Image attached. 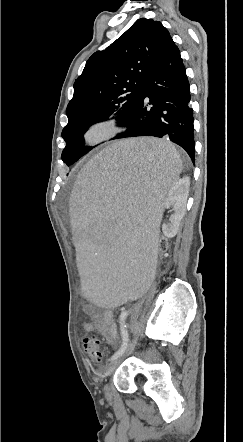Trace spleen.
<instances>
[{
	"label": "spleen",
	"instance_id": "obj_1",
	"mask_svg": "<svg viewBox=\"0 0 243 442\" xmlns=\"http://www.w3.org/2000/svg\"><path fill=\"white\" fill-rule=\"evenodd\" d=\"M169 141L128 139L83 164L71 194L79 286L94 307H124L150 291L165 195L182 172Z\"/></svg>",
	"mask_w": 243,
	"mask_h": 442
}]
</instances>
